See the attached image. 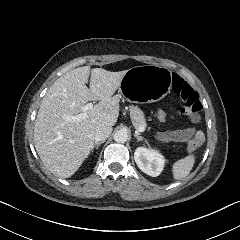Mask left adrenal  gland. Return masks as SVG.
Returning <instances> with one entry per match:
<instances>
[{"label":"left adrenal gland","mask_w":240,"mask_h":240,"mask_svg":"<svg viewBox=\"0 0 240 240\" xmlns=\"http://www.w3.org/2000/svg\"><path fill=\"white\" fill-rule=\"evenodd\" d=\"M134 137L137 139V141H144L147 145H149L148 141L144 139L142 136L134 134Z\"/></svg>","instance_id":"a2214340"}]
</instances>
